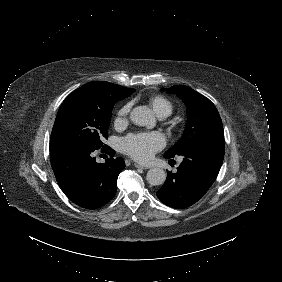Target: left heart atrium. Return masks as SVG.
Here are the masks:
<instances>
[{"mask_svg":"<svg viewBox=\"0 0 282 282\" xmlns=\"http://www.w3.org/2000/svg\"><path fill=\"white\" fill-rule=\"evenodd\" d=\"M163 144L164 140L158 133L130 135L122 140L123 150L140 162L149 161Z\"/></svg>","mask_w":282,"mask_h":282,"instance_id":"1","label":"left heart atrium"}]
</instances>
